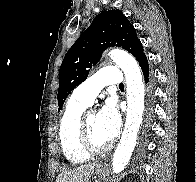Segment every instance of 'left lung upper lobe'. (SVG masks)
Returning <instances> with one entry per match:
<instances>
[{
	"mask_svg": "<svg viewBox=\"0 0 196 182\" xmlns=\"http://www.w3.org/2000/svg\"><path fill=\"white\" fill-rule=\"evenodd\" d=\"M120 46L139 62L145 56L136 30L120 10H104L98 14L65 55L60 67L58 105L60 111L71 91L86 80L89 68L110 46Z\"/></svg>",
	"mask_w": 196,
	"mask_h": 182,
	"instance_id": "obj_1",
	"label": "left lung upper lobe"
}]
</instances>
